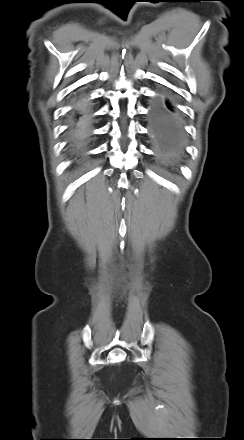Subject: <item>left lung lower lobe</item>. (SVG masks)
Here are the masks:
<instances>
[{
	"label": "left lung lower lobe",
	"instance_id": "obj_1",
	"mask_svg": "<svg viewBox=\"0 0 244 440\" xmlns=\"http://www.w3.org/2000/svg\"><path fill=\"white\" fill-rule=\"evenodd\" d=\"M149 134L163 158L181 151L185 144L184 121L180 110L169 96L157 97L149 112Z\"/></svg>",
	"mask_w": 244,
	"mask_h": 440
}]
</instances>
